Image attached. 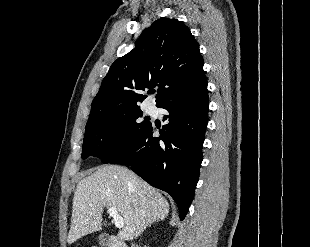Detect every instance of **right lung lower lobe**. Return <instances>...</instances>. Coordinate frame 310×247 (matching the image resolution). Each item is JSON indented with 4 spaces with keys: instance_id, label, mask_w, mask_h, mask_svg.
I'll return each mask as SVG.
<instances>
[{
    "instance_id": "right-lung-lower-lobe-1",
    "label": "right lung lower lobe",
    "mask_w": 310,
    "mask_h": 247,
    "mask_svg": "<svg viewBox=\"0 0 310 247\" xmlns=\"http://www.w3.org/2000/svg\"><path fill=\"white\" fill-rule=\"evenodd\" d=\"M208 104L207 81L173 96L159 106L168 111L160 136L153 135L150 124L131 148L110 162L131 166L150 185L169 193L180 220L188 212L198 182Z\"/></svg>"
}]
</instances>
